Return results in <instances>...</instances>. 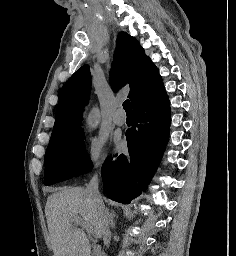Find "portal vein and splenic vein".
<instances>
[{"instance_id": "obj_1", "label": "portal vein and splenic vein", "mask_w": 236, "mask_h": 256, "mask_svg": "<svg viewBox=\"0 0 236 256\" xmlns=\"http://www.w3.org/2000/svg\"><path fill=\"white\" fill-rule=\"evenodd\" d=\"M73 224H76V226H81V228H85L88 236H90V234H92V228H88L86 222H83V220H82V218H80V216H74Z\"/></svg>"}]
</instances>
